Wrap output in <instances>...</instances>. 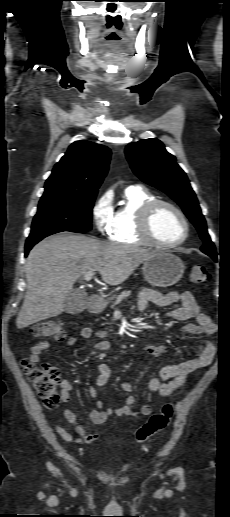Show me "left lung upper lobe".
Wrapping results in <instances>:
<instances>
[{"instance_id":"left-lung-upper-lobe-1","label":"left lung upper lobe","mask_w":230,"mask_h":517,"mask_svg":"<svg viewBox=\"0 0 230 517\" xmlns=\"http://www.w3.org/2000/svg\"><path fill=\"white\" fill-rule=\"evenodd\" d=\"M125 153L133 172L142 181L163 191L181 206L204 241L201 251L216 261L215 246L207 232L198 200L176 158L155 138L130 143Z\"/></svg>"}]
</instances>
